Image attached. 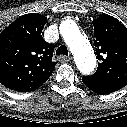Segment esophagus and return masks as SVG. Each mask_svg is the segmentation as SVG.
Listing matches in <instances>:
<instances>
[{"instance_id":"obj_1","label":"esophagus","mask_w":127,"mask_h":127,"mask_svg":"<svg viewBox=\"0 0 127 127\" xmlns=\"http://www.w3.org/2000/svg\"><path fill=\"white\" fill-rule=\"evenodd\" d=\"M72 59V57H66V56H59L58 57V60L60 61V62H68V61H70Z\"/></svg>"}]
</instances>
